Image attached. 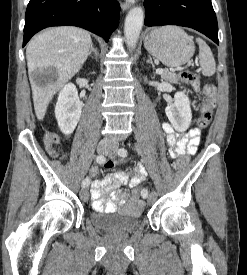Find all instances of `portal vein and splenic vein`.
Returning a JSON list of instances; mask_svg holds the SVG:
<instances>
[{
	"mask_svg": "<svg viewBox=\"0 0 247 275\" xmlns=\"http://www.w3.org/2000/svg\"><path fill=\"white\" fill-rule=\"evenodd\" d=\"M157 74H162L163 72H164V70L163 69H157Z\"/></svg>",
	"mask_w": 247,
	"mask_h": 275,
	"instance_id": "1",
	"label": "portal vein and splenic vein"
}]
</instances>
